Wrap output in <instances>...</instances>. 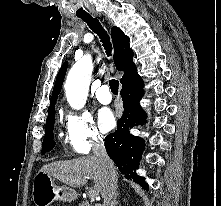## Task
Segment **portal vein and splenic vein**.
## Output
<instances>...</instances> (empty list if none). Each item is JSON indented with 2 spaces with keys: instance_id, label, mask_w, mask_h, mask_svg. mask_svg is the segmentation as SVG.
Wrapping results in <instances>:
<instances>
[{
  "instance_id": "1",
  "label": "portal vein and splenic vein",
  "mask_w": 221,
  "mask_h": 206,
  "mask_svg": "<svg viewBox=\"0 0 221 206\" xmlns=\"http://www.w3.org/2000/svg\"><path fill=\"white\" fill-rule=\"evenodd\" d=\"M88 196L92 199H96L98 197V194L94 190H91L89 191Z\"/></svg>"
}]
</instances>
